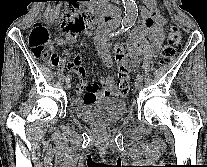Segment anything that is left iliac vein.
Instances as JSON below:
<instances>
[{
	"label": "left iliac vein",
	"instance_id": "left-iliac-vein-1",
	"mask_svg": "<svg viewBox=\"0 0 207 167\" xmlns=\"http://www.w3.org/2000/svg\"><path fill=\"white\" fill-rule=\"evenodd\" d=\"M135 88L137 90L141 89L142 88V80L141 79H136V82H135Z\"/></svg>",
	"mask_w": 207,
	"mask_h": 167
}]
</instances>
